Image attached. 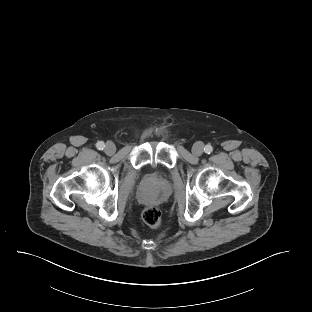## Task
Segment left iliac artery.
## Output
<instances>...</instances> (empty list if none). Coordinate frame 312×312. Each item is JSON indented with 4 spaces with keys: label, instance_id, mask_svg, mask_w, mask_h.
<instances>
[{
    "label": "left iliac artery",
    "instance_id": "1",
    "mask_svg": "<svg viewBox=\"0 0 312 312\" xmlns=\"http://www.w3.org/2000/svg\"><path fill=\"white\" fill-rule=\"evenodd\" d=\"M205 153L210 154L213 151V148L211 145H206L204 148Z\"/></svg>",
    "mask_w": 312,
    "mask_h": 312
}]
</instances>
